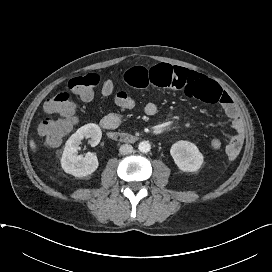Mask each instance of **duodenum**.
I'll return each instance as SVG.
<instances>
[{
	"label": "duodenum",
	"mask_w": 272,
	"mask_h": 272,
	"mask_svg": "<svg viewBox=\"0 0 272 272\" xmlns=\"http://www.w3.org/2000/svg\"><path fill=\"white\" fill-rule=\"evenodd\" d=\"M107 135L111 140L119 141L122 143H133L137 140L134 135L125 132L109 131Z\"/></svg>",
	"instance_id": "1"
}]
</instances>
